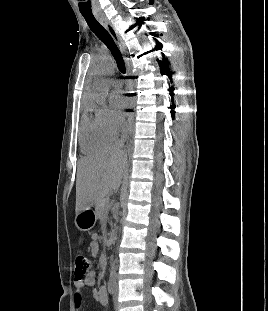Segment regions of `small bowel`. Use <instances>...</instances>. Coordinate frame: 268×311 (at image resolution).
Instances as JSON below:
<instances>
[{
    "instance_id": "small-bowel-1",
    "label": "small bowel",
    "mask_w": 268,
    "mask_h": 311,
    "mask_svg": "<svg viewBox=\"0 0 268 311\" xmlns=\"http://www.w3.org/2000/svg\"><path fill=\"white\" fill-rule=\"evenodd\" d=\"M89 251L92 256L96 257L99 254L98 235L93 234L89 242ZM96 284V273L90 270L82 280L75 281L74 302L76 308L79 309L82 304V291L86 287H93ZM96 299L101 307H106L108 304L107 291L104 286H101L96 292Z\"/></svg>"
}]
</instances>
